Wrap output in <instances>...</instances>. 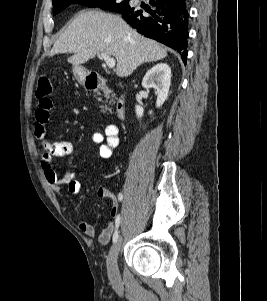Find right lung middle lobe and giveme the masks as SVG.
<instances>
[{"mask_svg": "<svg viewBox=\"0 0 267 301\" xmlns=\"http://www.w3.org/2000/svg\"><path fill=\"white\" fill-rule=\"evenodd\" d=\"M128 1L130 0L122 2H119V0H53V14L55 15L59 13L61 10L73 3H80L87 7L120 12L130 6Z\"/></svg>", "mask_w": 267, "mask_h": 301, "instance_id": "obj_1", "label": "right lung middle lobe"}]
</instances>
